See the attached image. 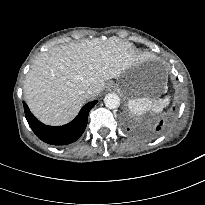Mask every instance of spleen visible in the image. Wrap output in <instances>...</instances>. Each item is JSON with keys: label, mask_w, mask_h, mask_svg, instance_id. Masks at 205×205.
<instances>
[{"label": "spleen", "mask_w": 205, "mask_h": 205, "mask_svg": "<svg viewBox=\"0 0 205 205\" xmlns=\"http://www.w3.org/2000/svg\"><path fill=\"white\" fill-rule=\"evenodd\" d=\"M170 98L150 99V98H135L128 101V107L134 114H142L144 111L154 109H163L169 104Z\"/></svg>", "instance_id": "spleen-1"}]
</instances>
